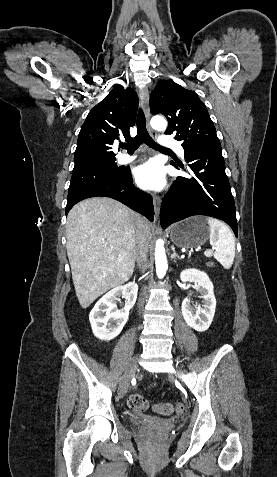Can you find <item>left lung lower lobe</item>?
Listing matches in <instances>:
<instances>
[{
  "label": "left lung lower lobe",
  "mask_w": 277,
  "mask_h": 477,
  "mask_svg": "<svg viewBox=\"0 0 277 477\" xmlns=\"http://www.w3.org/2000/svg\"><path fill=\"white\" fill-rule=\"evenodd\" d=\"M184 152L189 172L195 175L190 179L178 177L174 181L162 202L161 226L166 228L193 215H206L225 221L237 237L235 203L221 146L185 149ZM172 165L177 168L174 163Z\"/></svg>",
  "instance_id": "left-lung-lower-lobe-1"
}]
</instances>
